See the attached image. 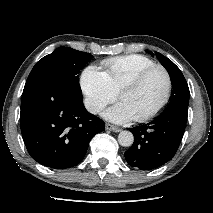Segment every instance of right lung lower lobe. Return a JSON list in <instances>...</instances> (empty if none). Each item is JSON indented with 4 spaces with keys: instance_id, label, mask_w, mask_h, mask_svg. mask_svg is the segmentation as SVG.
<instances>
[{
    "instance_id": "98d812e1",
    "label": "right lung lower lobe",
    "mask_w": 213,
    "mask_h": 213,
    "mask_svg": "<svg viewBox=\"0 0 213 213\" xmlns=\"http://www.w3.org/2000/svg\"><path fill=\"white\" fill-rule=\"evenodd\" d=\"M103 130L104 122L64 85L46 78L26 82L21 132L30 156L38 163L54 169L77 165L92 137Z\"/></svg>"
}]
</instances>
